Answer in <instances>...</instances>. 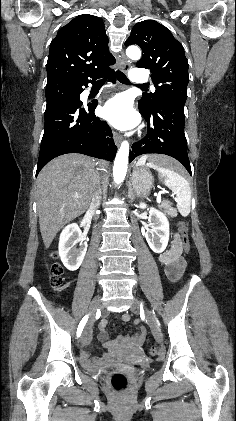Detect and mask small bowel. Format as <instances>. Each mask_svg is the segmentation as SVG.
Here are the masks:
<instances>
[{"instance_id":"small-bowel-1","label":"small bowel","mask_w":236,"mask_h":421,"mask_svg":"<svg viewBox=\"0 0 236 421\" xmlns=\"http://www.w3.org/2000/svg\"><path fill=\"white\" fill-rule=\"evenodd\" d=\"M173 247H175L178 251H180V249H181V242H180V238H179V235L178 234H174ZM141 333L142 334L144 333V330L143 329H141ZM89 339H90V336H87L86 337V341H89ZM109 360H110V358L107 361H109Z\"/></svg>"}]
</instances>
